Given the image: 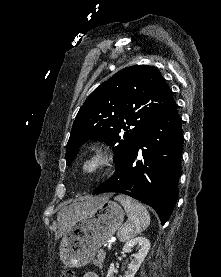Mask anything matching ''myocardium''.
I'll return each mask as SVG.
<instances>
[{
    "label": "myocardium",
    "mask_w": 221,
    "mask_h": 277,
    "mask_svg": "<svg viewBox=\"0 0 221 277\" xmlns=\"http://www.w3.org/2000/svg\"><path fill=\"white\" fill-rule=\"evenodd\" d=\"M112 159L109 151L96 149L82 160L80 172L86 177L95 176L104 171L111 164Z\"/></svg>",
    "instance_id": "myocardium-1"
}]
</instances>
